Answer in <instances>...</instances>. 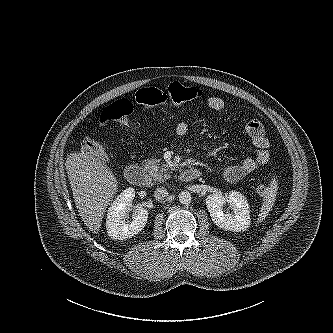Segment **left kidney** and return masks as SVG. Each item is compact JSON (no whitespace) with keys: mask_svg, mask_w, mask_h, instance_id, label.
Returning a JSON list of instances; mask_svg holds the SVG:
<instances>
[{"mask_svg":"<svg viewBox=\"0 0 333 333\" xmlns=\"http://www.w3.org/2000/svg\"><path fill=\"white\" fill-rule=\"evenodd\" d=\"M227 203L229 207L225 208ZM206 206L212 221L219 228L241 232L250 225L249 204L240 192L231 191L227 198L222 193L210 194L206 198Z\"/></svg>","mask_w":333,"mask_h":333,"instance_id":"obj_1","label":"left kidney"}]
</instances>
